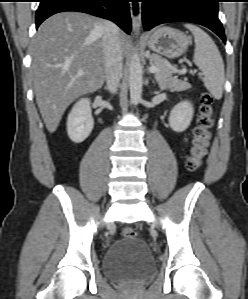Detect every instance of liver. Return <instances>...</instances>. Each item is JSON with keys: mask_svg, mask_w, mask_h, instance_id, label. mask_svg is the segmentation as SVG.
I'll return each mask as SVG.
<instances>
[{"mask_svg": "<svg viewBox=\"0 0 248 299\" xmlns=\"http://www.w3.org/2000/svg\"><path fill=\"white\" fill-rule=\"evenodd\" d=\"M104 22L84 13H58L42 23L32 41L31 74L36 102L50 133L56 131L75 99L96 91L104 83ZM118 34L122 54H126L129 37L121 30Z\"/></svg>", "mask_w": 248, "mask_h": 299, "instance_id": "liver-1", "label": "liver"}]
</instances>
